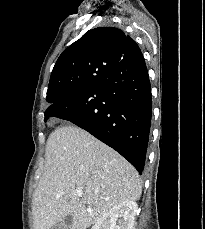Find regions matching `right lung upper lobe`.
<instances>
[{"mask_svg":"<svg viewBox=\"0 0 205 229\" xmlns=\"http://www.w3.org/2000/svg\"><path fill=\"white\" fill-rule=\"evenodd\" d=\"M140 49L128 35L114 27L88 30L58 58L52 70L47 102L65 100L94 84L97 76H109L122 59L134 58ZM97 83V82H96Z\"/></svg>","mask_w":205,"mask_h":229,"instance_id":"cb5924a9","label":"right lung upper lobe"}]
</instances>
